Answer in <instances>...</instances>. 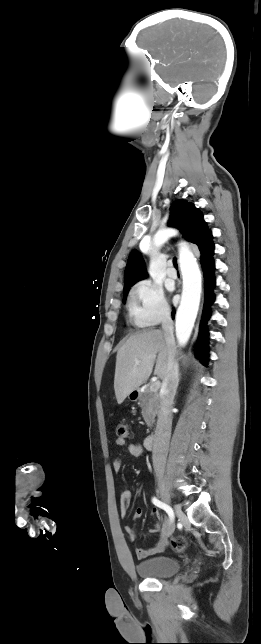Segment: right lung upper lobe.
Segmentation results:
<instances>
[{
	"instance_id": "cb5924a9",
	"label": "right lung upper lobe",
	"mask_w": 261,
	"mask_h": 644,
	"mask_svg": "<svg viewBox=\"0 0 261 644\" xmlns=\"http://www.w3.org/2000/svg\"><path fill=\"white\" fill-rule=\"evenodd\" d=\"M168 225L180 230L183 236L199 247L201 261L214 254L211 230L203 220V214L186 200H176L170 208ZM147 276L141 254L132 250L124 273V289Z\"/></svg>"
}]
</instances>
